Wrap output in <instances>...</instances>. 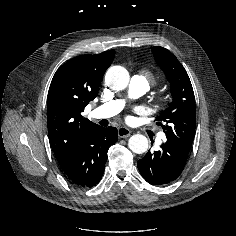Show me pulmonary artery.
<instances>
[{"instance_id":"pulmonary-artery-1","label":"pulmonary artery","mask_w":236,"mask_h":236,"mask_svg":"<svg viewBox=\"0 0 236 236\" xmlns=\"http://www.w3.org/2000/svg\"><path fill=\"white\" fill-rule=\"evenodd\" d=\"M149 83L141 76L134 75L129 84V93L132 96H141L149 90ZM125 102L123 100H113L98 106L94 109L93 115L95 118H110L118 114L124 107ZM165 135L161 133L159 139L163 140Z\"/></svg>"}]
</instances>
